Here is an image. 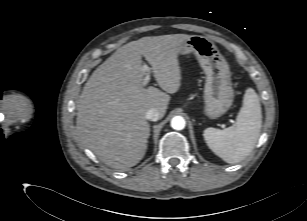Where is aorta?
Instances as JSON below:
<instances>
[{
    "label": "aorta",
    "mask_w": 307,
    "mask_h": 221,
    "mask_svg": "<svg viewBox=\"0 0 307 221\" xmlns=\"http://www.w3.org/2000/svg\"><path fill=\"white\" fill-rule=\"evenodd\" d=\"M186 121L182 116H175L171 119V127L175 130H182L185 128Z\"/></svg>",
    "instance_id": "obj_1"
}]
</instances>
